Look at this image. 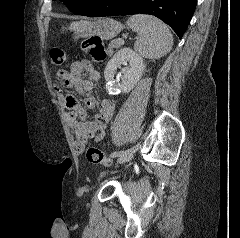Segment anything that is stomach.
<instances>
[{"label":"stomach","mask_w":240,"mask_h":238,"mask_svg":"<svg viewBox=\"0 0 240 238\" xmlns=\"http://www.w3.org/2000/svg\"><path fill=\"white\" fill-rule=\"evenodd\" d=\"M123 25L111 18H101L94 21H83L81 26L74 30V41L79 38L97 36L109 40L114 38L123 29Z\"/></svg>","instance_id":"stomach-1"}]
</instances>
